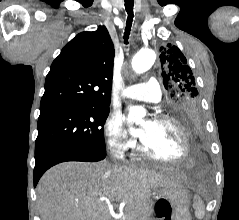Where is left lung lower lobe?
<instances>
[{
    "instance_id": "obj_1",
    "label": "left lung lower lobe",
    "mask_w": 239,
    "mask_h": 220,
    "mask_svg": "<svg viewBox=\"0 0 239 220\" xmlns=\"http://www.w3.org/2000/svg\"><path fill=\"white\" fill-rule=\"evenodd\" d=\"M177 119L190 133L195 151L198 154V148L201 146L200 136L202 132V119L200 111L191 110L183 112L177 116Z\"/></svg>"
}]
</instances>
